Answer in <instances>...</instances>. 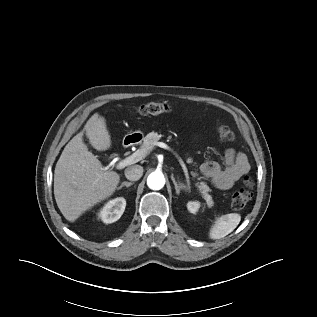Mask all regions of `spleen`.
<instances>
[{"instance_id": "spleen-1", "label": "spleen", "mask_w": 317, "mask_h": 317, "mask_svg": "<svg viewBox=\"0 0 317 317\" xmlns=\"http://www.w3.org/2000/svg\"><path fill=\"white\" fill-rule=\"evenodd\" d=\"M241 216L238 213H228L216 218L209 231V237L213 240L221 239L230 234L240 223Z\"/></svg>"}]
</instances>
